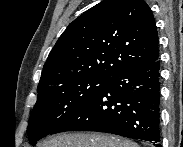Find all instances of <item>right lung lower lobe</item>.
<instances>
[{
  "label": "right lung lower lobe",
  "instance_id": "right-lung-lower-lobe-1",
  "mask_svg": "<svg viewBox=\"0 0 183 147\" xmlns=\"http://www.w3.org/2000/svg\"><path fill=\"white\" fill-rule=\"evenodd\" d=\"M159 70L157 59L116 73L51 134L98 131L160 142Z\"/></svg>",
  "mask_w": 183,
  "mask_h": 147
}]
</instances>
